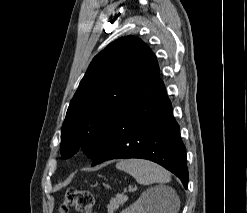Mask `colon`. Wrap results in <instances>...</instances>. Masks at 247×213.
Masks as SVG:
<instances>
[{
    "mask_svg": "<svg viewBox=\"0 0 247 213\" xmlns=\"http://www.w3.org/2000/svg\"><path fill=\"white\" fill-rule=\"evenodd\" d=\"M94 197L87 190L70 188L67 190L60 207V213H68L74 208L79 213H93Z\"/></svg>",
    "mask_w": 247,
    "mask_h": 213,
    "instance_id": "obj_1",
    "label": "colon"
}]
</instances>
